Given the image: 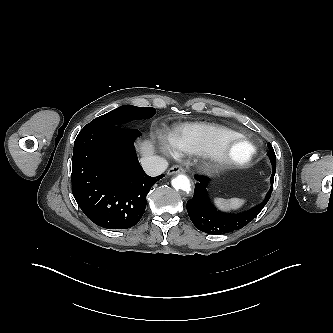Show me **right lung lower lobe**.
<instances>
[{"mask_svg":"<svg viewBox=\"0 0 333 333\" xmlns=\"http://www.w3.org/2000/svg\"><path fill=\"white\" fill-rule=\"evenodd\" d=\"M136 129L86 125L72 157V193L83 213L107 229H127L144 214L149 189L164 175L148 176L133 142Z\"/></svg>","mask_w":333,"mask_h":333,"instance_id":"right-lung-lower-lobe-1","label":"right lung lower lobe"}]
</instances>
